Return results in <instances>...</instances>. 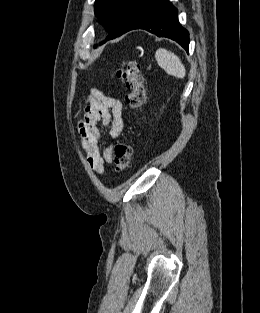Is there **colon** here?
<instances>
[{
    "mask_svg": "<svg viewBox=\"0 0 260 313\" xmlns=\"http://www.w3.org/2000/svg\"><path fill=\"white\" fill-rule=\"evenodd\" d=\"M115 76L122 80L128 92L125 100L131 110L138 109L145 102L144 79L140 74V65L135 61L124 62L115 72ZM133 148L128 142H118L114 148L113 166L116 173L126 171L132 160Z\"/></svg>",
    "mask_w": 260,
    "mask_h": 313,
    "instance_id": "5ec220e1",
    "label": "colon"
}]
</instances>
